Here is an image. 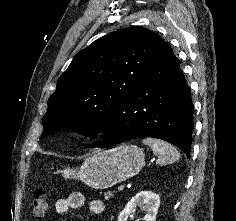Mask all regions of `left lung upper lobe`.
<instances>
[{
	"instance_id": "obj_1",
	"label": "left lung upper lobe",
	"mask_w": 236,
	"mask_h": 221,
	"mask_svg": "<svg viewBox=\"0 0 236 221\" xmlns=\"http://www.w3.org/2000/svg\"><path fill=\"white\" fill-rule=\"evenodd\" d=\"M166 44L158 34L134 26L79 51L48 99L42 137L65 128L90 137L104 132Z\"/></svg>"
}]
</instances>
